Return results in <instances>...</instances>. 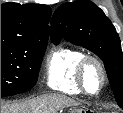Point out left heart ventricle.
Instances as JSON below:
<instances>
[{
    "instance_id": "left-heart-ventricle-1",
    "label": "left heart ventricle",
    "mask_w": 123,
    "mask_h": 113,
    "mask_svg": "<svg viewBox=\"0 0 123 113\" xmlns=\"http://www.w3.org/2000/svg\"><path fill=\"white\" fill-rule=\"evenodd\" d=\"M87 83L91 91L96 90L100 84V73L95 65H90L87 70Z\"/></svg>"
}]
</instances>
